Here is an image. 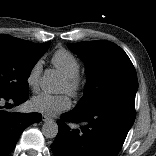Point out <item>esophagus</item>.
I'll list each match as a JSON object with an SVG mask.
<instances>
[{
    "label": "esophagus",
    "instance_id": "esophagus-1",
    "mask_svg": "<svg viewBox=\"0 0 156 156\" xmlns=\"http://www.w3.org/2000/svg\"><path fill=\"white\" fill-rule=\"evenodd\" d=\"M42 120H43L44 122H47V121L52 120V118L49 117V116H47V115H43V116H42Z\"/></svg>",
    "mask_w": 156,
    "mask_h": 156
}]
</instances>
